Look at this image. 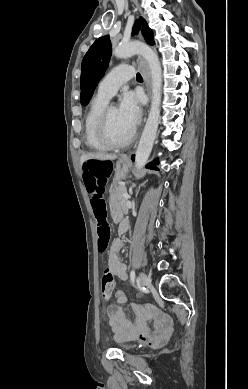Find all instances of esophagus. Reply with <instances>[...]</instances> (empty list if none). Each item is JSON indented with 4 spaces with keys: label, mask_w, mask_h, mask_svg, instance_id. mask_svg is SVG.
I'll use <instances>...</instances> for the list:
<instances>
[{
    "label": "esophagus",
    "mask_w": 248,
    "mask_h": 389,
    "mask_svg": "<svg viewBox=\"0 0 248 389\" xmlns=\"http://www.w3.org/2000/svg\"><path fill=\"white\" fill-rule=\"evenodd\" d=\"M139 36L140 38H142V34H141V31L139 32ZM137 60L139 61L141 67L144 69L145 71V82H146V85H147V92H148V96L150 98V73L148 71V68H147V65L145 63V61L143 60L142 57H138ZM124 160H127L128 159V155H125L123 157Z\"/></svg>",
    "instance_id": "obj_1"
}]
</instances>
